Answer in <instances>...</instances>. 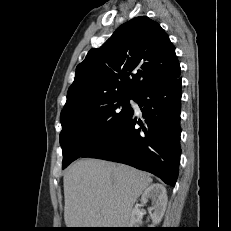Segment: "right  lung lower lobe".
<instances>
[{"label":"right lung lower lobe","mask_w":231,"mask_h":231,"mask_svg":"<svg viewBox=\"0 0 231 231\" xmlns=\"http://www.w3.org/2000/svg\"><path fill=\"white\" fill-rule=\"evenodd\" d=\"M134 100L142 111L144 123L137 121L132 113L109 139L82 157L124 163L174 186L181 154V78L151 85Z\"/></svg>","instance_id":"1"}]
</instances>
